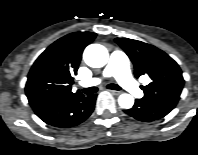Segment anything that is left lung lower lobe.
<instances>
[{"mask_svg": "<svg viewBox=\"0 0 198 155\" xmlns=\"http://www.w3.org/2000/svg\"><path fill=\"white\" fill-rule=\"evenodd\" d=\"M175 106L176 104L170 102H150L136 99L134 106L124 112L139 121L151 122L164 117Z\"/></svg>", "mask_w": 198, "mask_h": 155, "instance_id": "left-lung-lower-lobe-1", "label": "left lung lower lobe"}]
</instances>
